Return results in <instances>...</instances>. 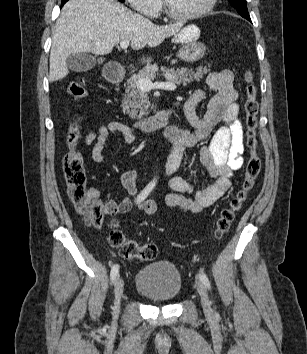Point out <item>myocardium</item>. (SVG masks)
Masks as SVG:
<instances>
[{
    "label": "myocardium",
    "mask_w": 307,
    "mask_h": 354,
    "mask_svg": "<svg viewBox=\"0 0 307 354\" xmlns=\"http://www.w3.org/2000/svg\"><path fill=\"white\" fill-rule=\"evenodd\" d=\"M217 3V0H208L207 3L205 4V6L196 11V12H192V13H187V14H178L175 13L174 11H172L169 6L166 4L165 0H163V9L165 14L172 20H176V21H187V20H194V19H198L201 18L205 15H207L208 13H210L215 5Z\"/></svg>",
    "instance_id": "1"
}]
</instances>
